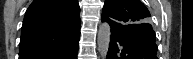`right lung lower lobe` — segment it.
Segmentation results:
<instances>
[{"label":"right lung lower lobe","instance_id":"98d812e1","mask_svg":"<svg viewBox=\"0 0 193 59\" xmlns=\"http://www.w3.org/2000/svg\"><path fill=\"white\" fill-rule=\"evenodd\" d=\"M78 44L79 37L55 52L44 55L21 57L19 59H77Z\"/></svg>","mask_w":193,"mask_h":59}]
</instances>
